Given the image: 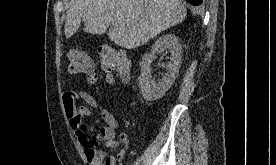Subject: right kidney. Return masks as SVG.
Returning a JSON list of instances; mask_svg holds the SVG:
<instances>
[{
	"label": "right kidney",
	"instance_id": "1",
	"mask_svg": "<svg viewBox=\"0 0 276 165\" xmlns=\"http://www.w3.org/2000/svg\"><path fill=\"white\" fill-rule=\"evenodd\" d=\"M168 49L171 53L170 61L164 65L167 73L157 82L151 80V63L158 51ZM182 58V46L178 37L172 34H166L160 37L152 46L151 53L142 57L141 75L138 78V84L142 96L147 101H154L162 98L166 91L174 84L179 74Z\"/></svg>",
	"mask_w": 276,
	"mask_h": 165
}]
</instances>
